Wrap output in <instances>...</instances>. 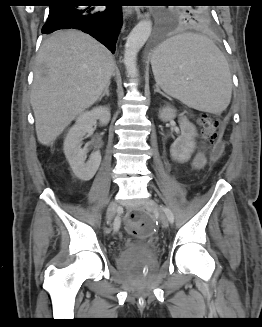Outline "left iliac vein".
Here are the masks:
<instances>
[{
    "instance_id": "left-iliac-vein-1",
    "label": "left iliac vein",
    "mask_w": 262,
    "mask_h": 327,
    "mask_svg": "<svg viewBox=\"0 0 262 327\" xmlns=\"http://www.w3.org/2000/svg\"><path fill=\"white\" fill-rule=\"evenodd\" d=\"M145 208L149 211H157L159 213V220L163 227L167 228L169 226V220L166 215L159 209L157 203L153 199H147L145 204Z\"/></svg>"
}]
</instances>
